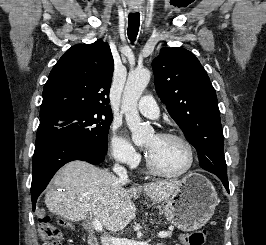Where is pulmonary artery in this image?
Listing matches in <instances>:
<instances>
[{
    "label": "pulmonary artery",
    "mask_w": 266,
    "mask_h": 245,
    "mask_svg": "<svg viewBox=\"0 0 266 245\" xmlns=\"http://www.w3.org/2000/svg\"><path fill=\"white\" fill-rule=\"evenodd\" d=\"M154 96H143V100L137 104L139 111L148 118H157L159 116V107L156 103L153 104Z\"/></svg>",
    "instance_id": "pulmonary-artery-1"
}]
</instances>
